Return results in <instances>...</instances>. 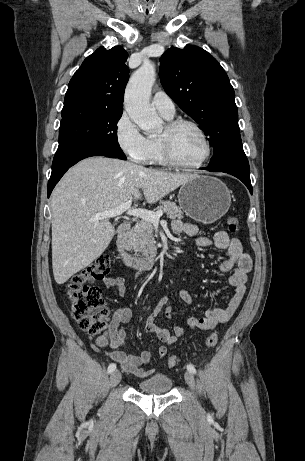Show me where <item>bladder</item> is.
I'll return each mask as SVG.
<instances>
[{
  "mask_svg": "<svg viewBox=\"0 0 305 461\" xmlns=\"http://www.w3.org/2000/svg\"><path fill=\"white\" fill-rule=\"evenodd\" d=\"M171 388L172 379L166 374H155L137 384L138 391L143 394H166Z\"/></svg>",
  "mask_w": 305,
  "mask_h": 461,
  "instance_id": "1",
  "label": "bladder"
}]
</instances>
